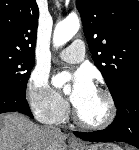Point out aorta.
Returning a JSON list of instances; mask_svg holds the SVG:
<instances>
[{
    "label": "aorta",
    "mask_w": 139,
    "mask_h": 150,
    "mask_svg": "<svg viewBox=\"0 0 139 150\" xmlns=\"http://www.w3.org/2000/svg\"><path fill=\"white\" fill-rule=\"evenodd\" d=\"M80 20L76 15H70L59 22L53 33V44L55 47H60L66 44L79 30ZM65 93L70 92V87L64 88Z\"/></svg>",
    "instance_id": "762f6f07"
}]
</instances>
